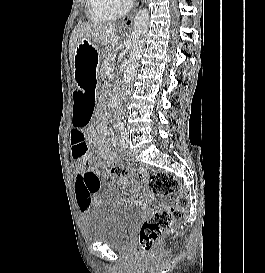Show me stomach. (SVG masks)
<instances>
[{
	"label": "stomach",
	"mask_w": 265,
	"mask_h": 273,
	"mask_svg": "<svg viewBox=\"0 0 265 273\" xmlns=\"http://www.w3.org/2000/svg\"><path fill=\"white\" fill-rule=\"evenodd\" d=\"M102 49H119V44H102ZM99 46L91 44L84 39L75 48L74 71L76 78L75 90H97L99 80H83L101 78V73H96L98 63L102 56Z\"/></svg>",
	"instance_id": "stomach-1"
}]
</instances>
